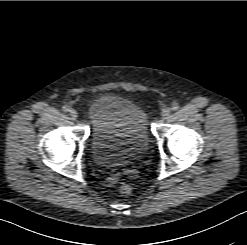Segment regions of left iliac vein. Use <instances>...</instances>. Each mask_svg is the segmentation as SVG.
Wrapping results in <instances>:
<instances>
[{
  "label": "left iliac vein",
  "instance_id": "1",
  "mask_svg": "<svg viewBox=\"0 0 247 245\" xmlns=\"http://www.w3.org/2000/svg\"><path fill=\"white\" fill-rule=\"evenodd\" d=\"M170 112H171V109L169 107L163 109V111L161 113L162 118L166 119L169 116Z\"/></svg>",
  "mask_w": 247,
  "mask_h": 245
}]
</instances>
